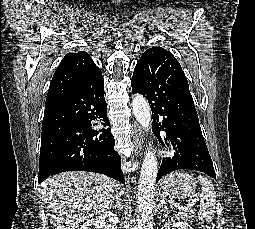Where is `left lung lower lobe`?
<instances>
[{"instance_id":"1","label":"left lung lower lobe","mask_w":255,"mask_h":229,"mask_svg":"<svg viewBox=\"0 0 255 229\" xmlns=\"http://www.w3.org/2000/svg\"><path fill=\"white\" fill-rule=\"evenodd\" d=\"M131 85L134 94L141 93L148 100L158 139L162 140V132L176 151L172 158L163 159L157 182L178 169L199 170L216 179L188 81L176 58L167 50L143 54Z\"/></svg>"}]
</instances>
